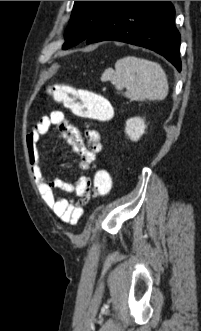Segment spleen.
Instances as JSON below:
<instances>
[{"label":"spleen","mask_w":201,"mask_h":331,"mask_svg":"<svg viewBox=\"0 0 201 331\" xmlns=\"http://www.w3.org/2000/svg\"><path fill=\"white\" fill-rule=\"evenodd\" d=\"M101 79L111 81L119 91L126 88L123 95L130 100L160 101L165 99L168 93L166 74L161 66L134 56L117 60L115 70L106 69Z\"/></svg>","instance_id":"spleen-1"}]
</instances>
